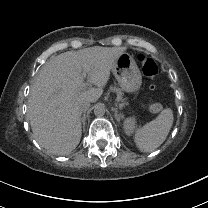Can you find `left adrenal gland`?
Returning <instances> with one entry per match:
<instances>
[{
    "mask_svg": "<svg viewBox=\"0 0 208 208\" xmlns=\"http://www.w3.org/2000/svg\"><path fill=\"white\" fill-rule=\"evenodd\" d=\"M122 108V107H120ZM112 111H114V117L115 119L119 122L121 118H123V114L122 113H118V109L117 108H111Z\"/></svg>",
    "mask_w": 208,
    "mask_h": 208,
    "instance_id": "1",
    "label": "left adrenal gland"
}]
</instances>
